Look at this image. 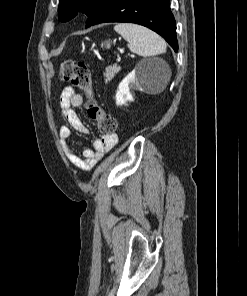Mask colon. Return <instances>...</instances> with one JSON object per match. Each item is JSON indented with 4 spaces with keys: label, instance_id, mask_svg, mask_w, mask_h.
<instances>
[{
    "label": "colon",
    "instance_id": "obj_1",
    "mask_svg": "<svg viewBox=\"0 0 247 296\" xmlns=\"http://www.w3.org/2000/svg\"><path fill=\"white\" fill-rule=\"evenodd\" d=\"M60 77L85 93L88 116L96 122L103 136H112L116 131V120L98 103L87 65L83 62L64 61L60 67Z\"/></svg>",
    "mask_w": 247,
    "mask_h": 296
}]
</instances>
